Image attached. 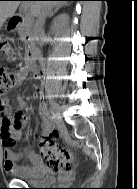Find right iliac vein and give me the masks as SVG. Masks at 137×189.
<instances>
[{
	"mask_svg": "<svg viewBox=\"0 0 137 189\" xmlns=\"http://www.w3.org/2000/svg\"><path fill=\"white\" fill-rule=\"evenodd\" d=\"M51 107V111L54 115V122L55 124L59 123L61 121V113L60 110L58 108V106L55 103H51L50 105Z\"/></svg>",
	"mask_w": 137,
	"mask_h": 189,
	"instance_id": "right-iliac-vein-1",
	"label": "right iliac vein"
}]
</instances>
